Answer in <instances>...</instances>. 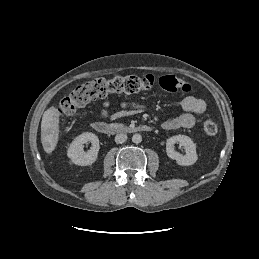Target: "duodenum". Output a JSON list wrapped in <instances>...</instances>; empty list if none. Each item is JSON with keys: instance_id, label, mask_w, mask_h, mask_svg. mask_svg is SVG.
Masks as SVG:
<instances>
[{"instance_id": "duodenum-1", "label": "duodenum", "mask_w": 259, "mask_h": 259, "mask_svg": "<svg viewBox=\"0 0 259 259\" xmlns=\"http://www.w3.org/2000/svg\"><path fill=\"white\" fill-rule=\"evenodd\" d=\"M94 130L102 134H118V133H141L149 132L151 128L148 125L124 126L119 124H109L98 121L92 124Z\"/></svg>"}]
</instances>
